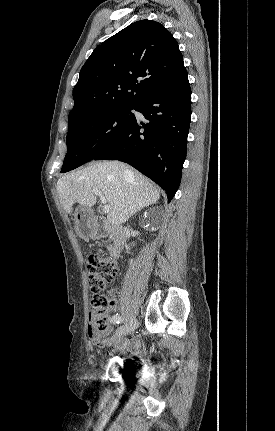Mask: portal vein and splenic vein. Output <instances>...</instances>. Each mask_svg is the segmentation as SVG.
I'll list each match as a JSON object with an SVG mask.
<instances>
[{
	"instance_id": "1",
	"label": "portal vein and splenic vein",
	"mask_w": 275,
	"mask_h": 431,
	"mask_svg": "<svg viewBox=\"0 0 275 431\" xmlns=\"http://www.w3.org/2000/svg\"><path fill=\"white\" fill-rule=\"evenodd\" d=\"M92 193L95 195H98L100 197V200L103 203V208H102L103 212L109 213L111 210V207H110V205L106 204V199H105L104 195L98 190H93Z\"/></svg>"
}]
</instances>
